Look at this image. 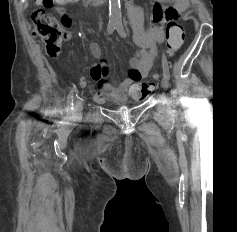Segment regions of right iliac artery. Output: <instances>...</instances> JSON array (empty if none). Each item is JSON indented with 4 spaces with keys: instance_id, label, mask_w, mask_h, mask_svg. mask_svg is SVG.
Segmentation results:
<instances>
[{
    "instance_id": "right-iliac-artery-1",
    "label": "right iliac artery",
    "mask_w": 237,
    "mask_h": 232,
    "mask_svg": "<svg viewBox=\"0 0 237 232\" xmlns=\"http://www.w3.org/2000/svg\"><path fill=\"white\" fill-rule=\"evenodd\" d=\"M116 28V25L114 24H109L108 25V28H107V32L108 34H111L113 33L114 29ZM74 91H75V87H73L71 89V91L69 92L68 94V97H67V107H66V119L67 120H70L72 118V114H73V98H74Z\"/></svg>"
}]
</instances>
